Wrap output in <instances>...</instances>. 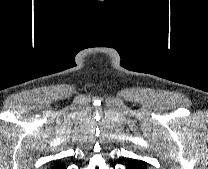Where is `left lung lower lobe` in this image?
Masks as SVG:
<instances>
[{
  "mask_svg": "<svg viewBox=\"0 0 208 169\" xmlns=\"http://www.w3.org/2000/svg\"><path fill=\"white\" fill-rule=\"evenodd\" d=\"M126 169H146L142 161L135 160L126 165Z\"/></svg>",
  "mask_w": 208,
  "mask_h": 169,
  "instance_id": "obj_1",
  "label": "left lung lower lobe"
}]
</instances>
